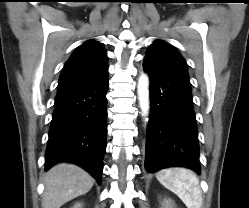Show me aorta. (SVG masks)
Wrapping results in <instances>:
<instances>
[{
  "mask_svg": "<svg viewBox=\"0 0 249 208\" xmlns=\"http://www.w3.org/2000/svg\"><path fill=\"white\" fill-rule=\"evenodd\" d=\"M149 80L147 75L143 74L138 81V99L144 116L149 111Z\"/></svg>",
  "mask_w": 249,
  "mask_h": 208,
  "instance_id": "762f6f07",
  "label": "aorta"
}]
</instances>
